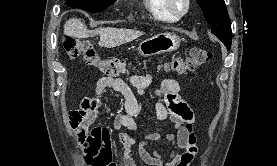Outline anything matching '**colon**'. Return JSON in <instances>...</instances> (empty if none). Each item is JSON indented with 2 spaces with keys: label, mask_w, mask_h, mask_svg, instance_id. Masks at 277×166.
I'll list each match as a JSON object with an SVG mask.
<instances>
[{
  "label": "colon",
  "mask_w": 277,
  "mask_h": 166,
  "mask_svg": "<svg viewBox=\"0 0 277 166\" xmlns=\"http://www.w3.org/2000/svg\"><path fill=\"white\" fill-rule=\"evenodd\" d=\"M64 47L67 56L74 60L83 57L86 63L97 68L108 77H116L127 71V60L125 58L102 59L95 51L92 44L85 40H78L66 35ZM213 57L211 51L203 48H194L186 56H178L163 64L165 70L174 71L180 74L195 71L208 63ZM75 122L72 129L79 139L85 138L89 133L84 116L75 112Z\"/></svg>",
  "instance_id": "5ec220e1"
}]
</instances>
